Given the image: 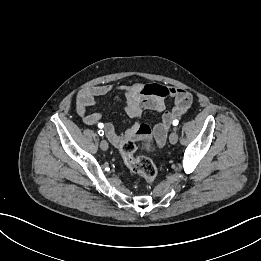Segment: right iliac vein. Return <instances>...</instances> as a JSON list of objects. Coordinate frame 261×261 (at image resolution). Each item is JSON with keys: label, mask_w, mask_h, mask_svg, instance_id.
Returning <instances> with one entry per match:
<instances>
[{"label": "right iliac vein", "mask_w": 261, "mask_h": 261, "mask_svg": "<svg viewBox=\"0 0 261 261\" xmlns=\"http://www.w3.org/2000/svg\"><path fill=\"white\" fill-rule=\"evenodd\" d=\"M100 147H101L102 150L106 151V150L108 149V143H107V141L104 140V139L101 140V142H100Z\"/></svg>", "instance_id": "1"}]
</instances>
